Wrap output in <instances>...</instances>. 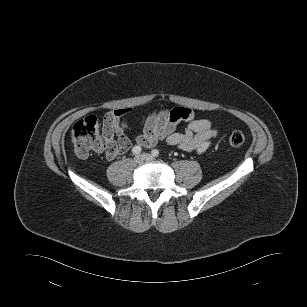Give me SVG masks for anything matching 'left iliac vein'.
Here are the masks:
<instances>
[{
    "mask_svg": "<svg viewBox=\"0 0 307 307\" xmlns=\"http://www.w3.org/2000/svg\"><path fill=\"white\" fill-rule=\"evenodd\" d=\"M142 156L144 157V160H146V161H152L154 159V157L151 154H148V153H144V154H142Z\"/></svg>",
    "mask_w": 307,
    "mask_h": 307,
    "instance_id": "left-iliac-vein-1",
    "label": "left iliac vein"
}]
</instances>
